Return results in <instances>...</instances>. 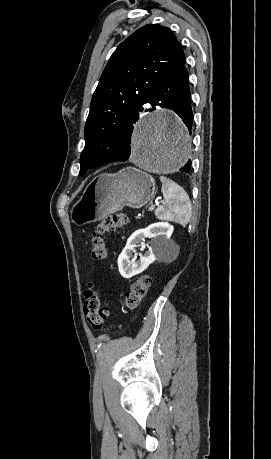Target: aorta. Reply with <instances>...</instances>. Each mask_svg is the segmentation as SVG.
I'll list each match as a JSON object with an SVG mask.
<instances>
[{
  "instance_id": "obj_1",
  "label": "aorta",
  "mask_w": 271,
  "mask_h": 459,
  "mask_svg": "<svg viewBox=\"0 0 271 459\" xmlns=\"http://www.w3.org/2000/svg\"><path fill=\"white\" fill-rule=\"evenodd\" d=\"M191 150L186 127L165 111L157 110L138 123L132 138L131 158L146 172L167 174L183 166Z\"/></svg>"
}]
</instances>
